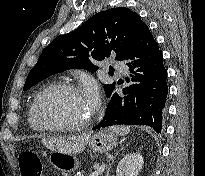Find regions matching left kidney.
I'll list each match as a JSON object with an SVG mask.
<instances>
[{
    "label": "left kidney",
    "instance_id": "5707ae66",
    "mask_svg": "<svg viewBox=\"0 0 205 176\" xmlns=\"http://www.w3.org/2000/svg\"><path fill=\"white\" fill-rule=\"evenodd\" d=\"M144 160L140 153H130L125 155L118 163L116 169L117 176H138L142 169Z\"/></svg>",
    "mask_w": 205,
    "mask_h": 176
}]
</instances>
